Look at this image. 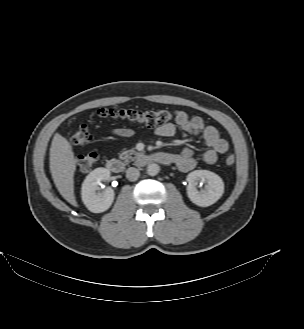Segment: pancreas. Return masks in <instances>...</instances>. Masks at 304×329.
<instances>
[{
    "instance_id": "cf45deb5",
    "label": "pancreas",
    "mask_w": 304,
    "mask_h": 329,
    "mask_svg": "<svg viewBox=\"0 0 304 329\" xmlns=\"http://www.w3.org/2000/svg\"><path fill=\"white\" fill-rule=\"evenodd\" d=\"M132 155H135V158H139L143 156V153H138L134 150H123L121 153H119V158L125 162H129L130 160H133Z\"/></svg>"
}]
</instances>
